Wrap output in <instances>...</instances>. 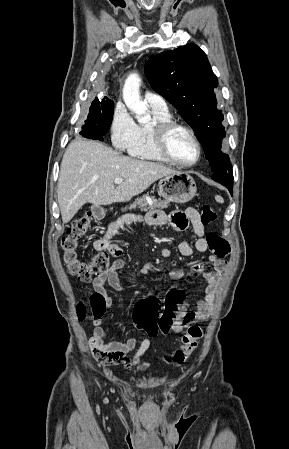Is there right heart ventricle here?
<instances>
[{
	"label": "right heart ventricle",
	"mask_w": 289,
	"mask_h": 449,
	"mask_svg": "<svg viewBox=\"0 0 289 449\" xmlns=\"http://www.w3.org/2000/svg\"><path fill=\"white\" fill-rule=\"evenodd\" d=\"M151 110L155 122L172 120L168 109L158 110L151 108ZM151 127L152 125L138 126V140L129 152L132 156L141 159L167 162V160L158 152L156 148Z\"/></svg>",
	"instance_id": "right-heart-ventricle-1"
}]
</instances>
